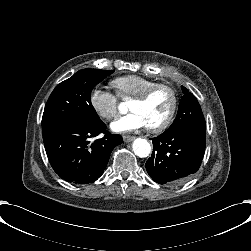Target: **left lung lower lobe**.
I'll use <instances>...</instances> for the list:
<instances>
[{
	"label": "left lung lower lobe",
	"instance_id": "1",
	"mask_svg": "<svg viewBox=\"0 0 251 251\" xmlns=\"http://www.w3.org/2000/svg\"><path fill=\"white\" fill-rule=\"evenodd\" d=\"M153 152L146 163L159 184L178 185L199 169L206 145V128L186 126L151 139Z\"/></svg>",
	"mask_w": 251,
	"mask_h": 251
}]
</instances>
